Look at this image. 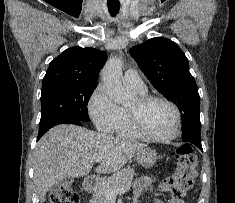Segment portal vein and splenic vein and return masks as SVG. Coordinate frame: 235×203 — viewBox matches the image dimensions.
Returning <instances> with one entry per match:
<instances>
[{"label": "portal vein and splenic vein", "mask_w": 235, "mask_h": 203, "mask_svg": "<svg viewBox=\"0 0 235 203\" xmlns=\"http://www.w3.org/2000/svg\"><path fill=\"white\" fill-rule=\"evenodd\" d=\"M102 160H103L102 157H97V158L95 159V162L100 163ZM128 191H129V188H128V187H126V188H121V189H118V190H107V191H106V196H107V198H108L109 200H115V199H116V196H117L118 194H123V193H126V192H128Z\"/></svg>", "instance_id": "18ae733b"}]
</instances>
